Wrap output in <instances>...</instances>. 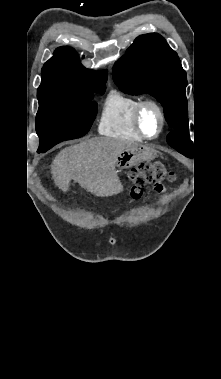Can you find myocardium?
Returning a JSON list of instances; mask_svg holds the SVG:
<instances>
[{"label":"myocardium","instance_id":"myocardium-1","mask_svg":"<svg viewBox=\"0 0 221 379\" xmlns=\"http://www.w3.org/2000/svg\"><path fill=\"white\" fill-rule=\"evenodd\" d=\"M147 108L154 109L156 111V113L158 114V118H159V127H158V130L153 135L147 134L144 131L143 126H142V114H143L144 110L147 109ZM133 123H134L136 131L144 139H156V138H158L162 134V132L164 130V127H165V114H164L163 108L155 100H152V99L142 100L136 106V108L134 110V113H133Z\"/></svg>","mask_w":221,"mask_h":379}]
</instances>
